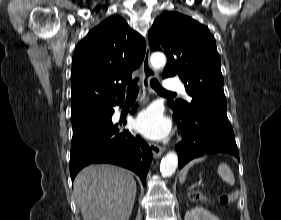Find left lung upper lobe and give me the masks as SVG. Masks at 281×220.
Instances as JSON below:
<instances>
[{"mask_svg":"<svg viewBox=\"0 0 281 220\" xmlns=\"http://www.w3.org/2000/svg\"><path fill=\"white\" fill-rule=\"evenodd\" d=\"M149 43L153 51H164L168 57L162 77L178 75L193 98L169 105L186 114L207 107L226 110L220 57L206 26L178 12H164L149 30Z\"/></svg>","mask_w":281,"mask_h":220,"instance_id":"1","label":"left lung upper lobe"}]
</instances>
